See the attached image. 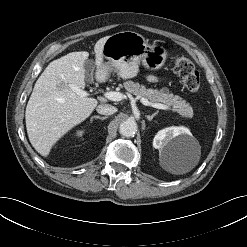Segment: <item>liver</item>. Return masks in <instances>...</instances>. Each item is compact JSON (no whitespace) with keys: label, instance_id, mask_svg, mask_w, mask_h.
<instances>
[{"label":"liver","instance_id":"obj_1","mask_svg":"<svg viewBox=\"0 0 247 247\" xmlns=\"http://www.w3.org/2000/svg\"><path fill=\"white\" fill-rule=\"evenodd\" d=\"M109 36L99 39L95 46L98 77L104 78L103 46ZM86 51L71 52L49 63L36 81L25 111L26 129L30 143L43 157L70 129L87 119L98 101L80 97L72 90L85 87L84 64Z\"/></svg>","mask_w":247,"mask_h":247}]
</instances>
